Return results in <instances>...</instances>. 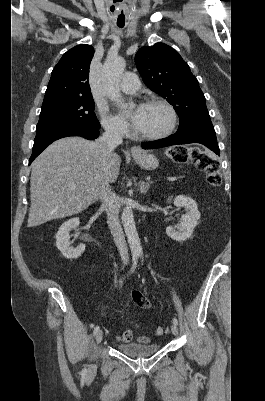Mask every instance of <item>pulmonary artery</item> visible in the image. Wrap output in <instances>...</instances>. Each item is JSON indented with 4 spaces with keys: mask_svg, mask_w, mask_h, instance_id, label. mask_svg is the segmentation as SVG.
<instances>
[{
    "mask_svg": "<svg viewBox=\"0 0 265 401\" xmlns=\"http://www.w3.org/2000/svg\"><path fill=\"white\" fill-rule=\"evenodd\" d=\"M139 77L135 72H128L125 81H120L118 87L124 95H136L139 88Z\"/></svg>",
    "mask_w": 265,
    "mask_h": 401,
    "instance_id": "e3ab8cb5",
    "label": "pulmonary artery"
}]
</instances>
